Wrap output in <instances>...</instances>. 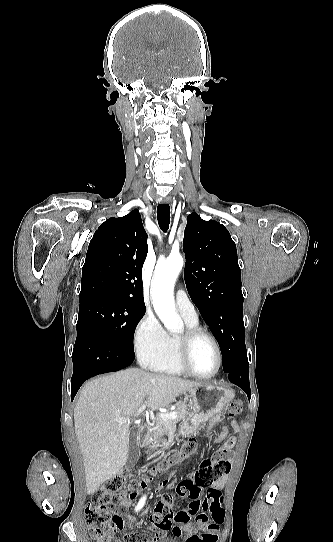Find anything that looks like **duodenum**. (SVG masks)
Returning a JSON list of instances; mask_svg holds the SVG:
<instances>
[{
    "label": "duodenum",
    "instance_id": "obj_1",
    "mask_svg": "<svg viewBox=\"0 0 333 542\" xmlns=\"http://www.w3.org/2000/svg\"><path fill=\"white\" fill-rule=\"evenodd\" d=\"M138 441L140 446L147 445V436L144 431L140 433Z\"/></svg>",
    "mask_w": 333,
    "mask_h": 542
}]
</instances>
